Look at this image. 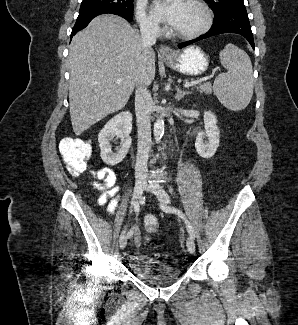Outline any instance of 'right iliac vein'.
<instances>
[{"label":"right iliac vein","mask_w":298,"mask_h":325,"mask_svg":"<svg viewBox=\"0 0 298 325\" xmlns=\"http://www.w3.org/2000/svg\"><path fill=\"white\" fill-rule=\"evenodd\" d=\"M144 188H145L144 178L137 179L135 183L133 195H132V200H131V204L133 206L137 204L141 199ZM119 245L121 249H124L127 245V234L125 230L122 232L120 236Z\"/></svg>","instance_id":"63e3f726"}]
</instances>
